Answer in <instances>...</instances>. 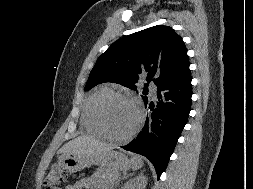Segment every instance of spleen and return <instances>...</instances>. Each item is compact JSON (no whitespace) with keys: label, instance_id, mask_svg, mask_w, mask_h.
Returning <instances> with one entry per match:
<instances>
[{"label":"spleen","instance_id":"3e777b00","mask_svg":"<svg viewBox=\"0 0 253 189\" xmlns=\"http://www.w3.org/2000/svg\"><path fill=\"white\" fill-rule=\"evenodd\" d=\"M132 169L137 170L143 166V160L141 156L133 155L131 158Z\"/></svg>","mask_w":253,"mask_h":189}]
</instances>
